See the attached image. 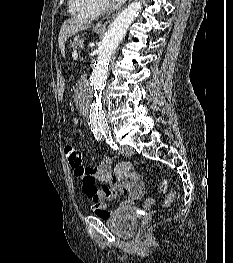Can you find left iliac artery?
<instances>
[{"label":"left iliac artery","mask_w":233,"mask_h":263,"mask_svg":"<svg viewBox=\"0 0 233 263\" xmlns=\"http://www.w3.org/2000/svg\"><path fill=\"white\" fill-rule=\"evenodd\" d=\"M103 135L106 138V142L110 145V147L113 150L117 151L119 149L118 145H116V143L113 141L110 131L104 132Z\"/></svg>","instance_id":"1"}]
</instances>
